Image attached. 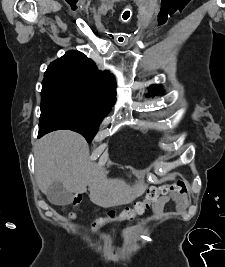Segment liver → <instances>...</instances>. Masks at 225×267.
<instances>
[{"label": "liver", "mask_w": 225, "mask_h": 267, "mask_svg": "<svg viewBox=\"0 0 225 267\" xmlns=\"http://www.w3.org/2000/svg\"><path fill=\"white\" fill-rule=\"evenodd\" d=\"M35 174L39 189L46 194L49 185L60 181L75 194H82L89 186L93 203L111 207L134 196L106 179L105 172L89 160L85 139L70 130H58L42 137L35 147Z\"/></svg>", "instance_id": "obj_1"}]
</instances>
